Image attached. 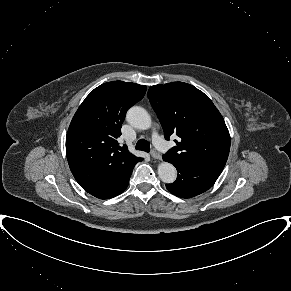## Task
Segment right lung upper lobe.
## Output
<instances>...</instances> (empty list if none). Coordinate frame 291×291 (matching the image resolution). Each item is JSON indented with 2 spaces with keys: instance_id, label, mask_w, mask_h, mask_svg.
<instances>
[{
  "instance_id": "right-lung-upper-lobe-1",
  "label": "right lung upper lobe",
  "mask_w": 291,
  "mask_h": 291,
  "mask_svg": "<svg viewBox=\"0 0 291 291\" xmlns=\"http://www.w3.org/2000/svg\"><path fill=\"white\" fill-rule=\"evenodd\" d=\"M147 87L113 81L95 88L76 111L66 136V155L76 181L91 195L108 199L122 193L143 158L119 146L127 110Z\"/></svg>"
}]
</instances>
